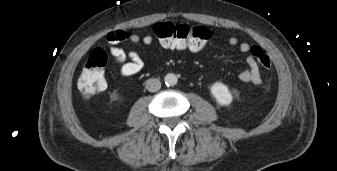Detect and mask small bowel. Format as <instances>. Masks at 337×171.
Here are the masks:
<instances>
[{"label": "small bowel", "instance_id": "1", "mask_svg": "<svg viewBox=\"0 0 337 171\" xmlns=\"http://www.w3.org/2000/svg\"><path fill=\"white\" fill-rule=\"evenodd\" d=\"M108 42L111 44L109 53L113 60V64L117 67L122 77H131L140 73L144 67L143 60L139 54L132 49L125 50L116 46L121 41H128L133 45L143 44L150 46L154 43L153 37L150 35L139 36L129 32H111L107 36ZM228 44L232 47H239L240 52L249 53L250 45L248 43H239L236 37H230ZM179 49V48H177ZM248 68L240 72L239 79L245 83L260 85L262 78L257 62L253 56L249 55L246 59Z\"/></svg>", "mask_w": 337, "mask_h": 171}]
</instances>
